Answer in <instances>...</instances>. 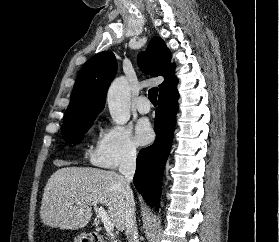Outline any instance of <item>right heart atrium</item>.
Returning a JSON list of instances; mask_svg holds the SVG:
<instances>
[{
    "instance_id": "d8ad5b80",
    "label": "right heart atrium",
    "mask_w": 279,
    "mask_h": 242,
    "mask_svg": "<svg viewBox=\"0 0 279 242\" xmlns=\"http://www.w3.org/2000/svg\"><path fill=\"white\" fill-rule=\"evenodd\" d=\"M137 154V145L130 130L111 125L101 131L90 154V161L99 167L116 169L134 162Z\"/></svg>"
}]
</instances>
